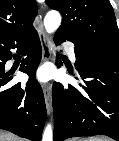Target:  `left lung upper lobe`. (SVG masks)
<instances>
[{
  "label": "left lung upper lobe",
  "mask_w": 119,
  "mask_h": 141,
  "mask_svg": "<svg viewBox=\"0 0 119 141\" xmlns=\"http://www.w3.org/2000/svg\"><path fill=\"white\" fill-rule=\"evenodd\" d=\"M46 3L62 14L56 34L69 37L89 57L119 60L118 26L109 0H46Z\"/></svg>",
  "instance_id": "5c2ea615"
}]
</instances>
